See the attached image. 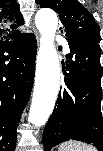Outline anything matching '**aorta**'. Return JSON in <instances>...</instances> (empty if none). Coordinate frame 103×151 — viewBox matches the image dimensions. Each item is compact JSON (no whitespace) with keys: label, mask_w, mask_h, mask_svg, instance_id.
Here are the masks:
<instances>
[{"label":"aorta","mask_w":103,"mask_h":151,"mask_svg":"<svg viewBox=\"0 0 103 151\" xmlns=\"http://www.w3.org/2000/svg\"><path fill=\"white\" fill-rule=\"evenodd\" d=\"M35 23L41 38L28 121L35 126H42L52 113L59 92L60 64L54 46L58 18L53 10L41 9L35 16Z\"/></svg>","instance_id":"1"}]
</instances>
